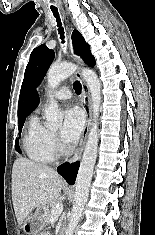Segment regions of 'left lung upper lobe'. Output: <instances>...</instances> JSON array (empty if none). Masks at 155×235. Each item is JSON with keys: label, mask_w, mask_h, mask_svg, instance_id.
Returning a JSON list of instances; mask_svg holds the SVG:
<instances>
[{"label": "left lung upper lobe", "mask_w": 155, "mask_h": 235, "mask_svg": "<svg viewBox=\"0 0 155 235\" xmlns=\"http://www.w3.org/2000/svg\"><path fill=\"white\" fill-rule=\"evenodd\" d=\"M72 40L75 53L80 55L85 63L90 66H94L95 59L90 52V47L77 30L73 31ZM54 57V51L47 48L45 44L36 47L31 52L30 60L26 67L24 80L21 87L19 104L22 102L31 88L40 84Z\"/></svg>", "instance_id": "1"}]
</instances>
